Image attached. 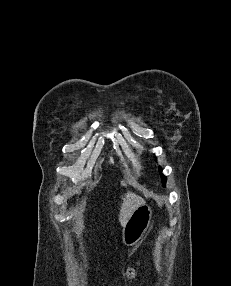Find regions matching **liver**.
Masks as SVG:
<instances>
[{"mask_svg":"<svg viewBox=\"0 0 231 286\" xmlns=\"http://www.w3.org/2000/svg\"><path fill=\"white\" fill-rule=\"evenodd\" d=\"M123 202L121 203L120 212H119V222L122 227L126 225L133 212L141 205L145 204V200L132 193L127 192L124 196H122Z\"/></svg>","mask_w":231,"mask_h":286,"instance_id":"1","label":"liver"}]
</instances>
